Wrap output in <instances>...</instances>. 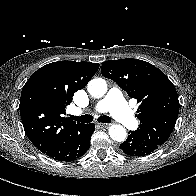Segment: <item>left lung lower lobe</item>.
Returning <instances> with one entry per match:
<instances>
[{
	"instance_id": "obj_1",
	"label": "left lung lower lobe",
	"mask_w": 196,
	"mask_h": 196,
	"mask_svg": "<svg viewBox=\"0 0 196 196\" xmlns=\"http://www.w3.org/2000/svg\"><path fill=\"white\" fill-rule=\"evenodd\" d=\"M158 147V145L144 140L134 131H129L126 141L120 144V148L125 154L135 157L148 155L158 149Z\"/></svg>"
}]
</instances>
